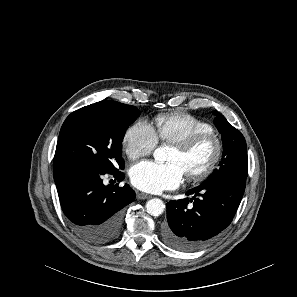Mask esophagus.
<instances>
[{
	"label": "esophagus",
	"instance_id": "1",
	"mask_svg": "<svg viewBox=\"0 0 297 297\" xmlns=\"http://www.w3.org/2000/svg\"><path fill=\"white\" fill-rule=\"evenodd\" d=\"M136 198L139 200H144V199L151 198V195L143 193V192H137Z\"/></svg>",
	"mask_w": 297,
	"mask_h": 297
}]
</instances>
